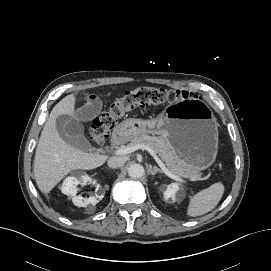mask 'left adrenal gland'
<instances>
[{
  "label": "left adrenal gland",
  "instance_id": "1",
  "mask_svg": "<svg viewBox=\"0 0 271 271\" xmlns=\"http://www.w3.org/2000/svg\"><path fill=\"white\" fill-rule=\"evenodd\" d=\"M149 173L153 176L157 173L159 174H163V172L157 167V166H154V167H151L149 168Z\"/></svg>",
  "mask_w": 271,
  "mask_h": 271
}]
</instances>
